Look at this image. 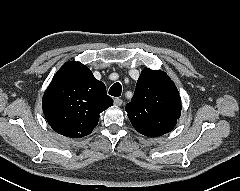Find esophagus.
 <instances>
[{
    "instance_id": "1",
    "label": "esophagus",
    "mask_w": 240,
    "mask_h": 191,
    "mask_svg": "<svg viewBox=\"0 0 240 191\" xmlns=\"http://www.w3.org/2000/svg\"><path fill=\"white\" fill-rule=\"evenodd\" d=\"M122 103H123L122 99H120V98H115L114 99V105L121 106Z\"/></svg>"
}]
</instances>
